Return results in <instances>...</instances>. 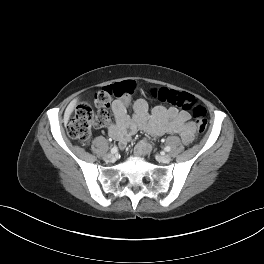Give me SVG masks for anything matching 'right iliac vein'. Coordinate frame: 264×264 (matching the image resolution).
Returning <instances> with one entry per match:
<instances>
[{"label": "right iliac vein", "mask_w": 264, "mask_h": 264, "mask_svg": "<svg viewBox=\"0 0 264 264\" xmlns=\"http://www.w3.org/2000/svg\"><path fill=\"white\" fill-rule=\"evenodd\" d=\"M104 159L109 162H114L116 160V157L113 154H106L104 156Z\"/></svg>", "instance_id": "right-iliac-vein-1"}]
</instances>
